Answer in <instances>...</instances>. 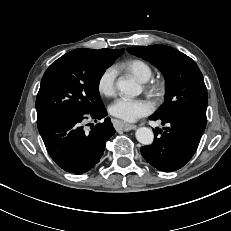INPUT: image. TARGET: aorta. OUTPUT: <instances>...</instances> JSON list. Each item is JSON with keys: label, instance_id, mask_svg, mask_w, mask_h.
I'll return each instance as SVG.
<instances>
[{"label": "aorta", "instance_id": "obj_1", "mask_svg": "<svg viewBox=\"0 0 231 231\" xmlns=\"http://www.w3.org/2000/svg\"><path fill=\"white\" fill-rule=\"evenodd\" d=\"M117 88L120 92L130 95V96H137L141 92L140 86L132 79H125L120 77L117 80ZM136 139L143 145H150L153 143L154 134L150 128L147 127H140L136 130L135 133Z\"/></svg>", "mask_w": 231, "mask_h": 231}]
</instances>
